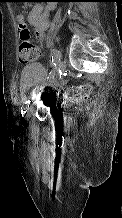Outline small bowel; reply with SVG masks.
<instances>
[{
	"instance_id": "small-bowel-1",
	"label": "small bowel",
	"mask_w": 122,
	"mask_h": 218,
	"mask_svg": "<svg viewBox=\"0 0 122 218\" xmlns=\"http://www.w3.org/2000/svg\"><path fill=\"white\" fill-rule=\"evenodd\" d=\"M54 8L55 5L49 1L45 6L41 4L34 5L28 14L27 20L34 27L36 39L40 42L44 39L45 32L50 26L48 15ZM17 19L19 23L24 22L22 14H18ZM41 56V51H38L37 58Z\"/></svg>"
}]
</instances>
